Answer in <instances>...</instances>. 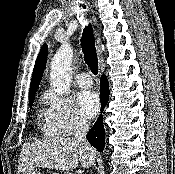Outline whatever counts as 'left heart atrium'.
Instances as JSON below:
<instances>
[{
  "label": "left heart atrium",
  "mask_w": 175,
  "mask_h": 174,
  "mask_svg": "<svg viewBox=\"0 0 175 174\" xmlns=\"http://www.w3.org/2000/svg\"><path fill=\"white\" fill-rule=\"evenodd\" d=\"M77 102L81 113L87 118L94 117L99 109V97L92 90L80 91L77 94Z\"/></svg>",
  "instance_id": "39dd6f15"
}]
</instances>
